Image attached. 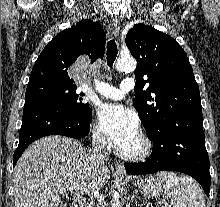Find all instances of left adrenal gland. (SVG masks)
Listing matches in <instances>:
<instances>
[{"label":"left adrenal gland","mask_w":220,"mask_h":207,"mask_svg":"<svg viewBox=\"0 0 220 207\" xmlns=\"http://www.w3.org/2000/svg\"><path fill=\"white\" fill-rule=\"evenodd\" d=\"M136 198H137V192H134L133 195L131 196L130 202L135 200L136 202Z\"/></svg>","instance_id":"left-adrenal-gland-1"}]
</instances>
